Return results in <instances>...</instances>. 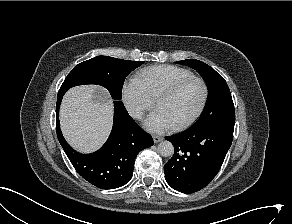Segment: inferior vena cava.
<instances>
[{"instance_id": "1", "label": "inferior vena cava", "mask_w": 292, "mask_h": 224, "mask_svg": "<svg viewBox=\"0 0 292 224\" xmlns=\"http://www.w3.org/2000/svg\"><path fill=\"white\" fill-rule=\"evenodd\" d=\"M130 114L134 118L141 119L142 115H143V111L140 108H134V109L130 110Z\"/></svg>"}]
</instances>
